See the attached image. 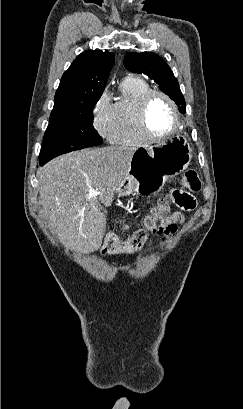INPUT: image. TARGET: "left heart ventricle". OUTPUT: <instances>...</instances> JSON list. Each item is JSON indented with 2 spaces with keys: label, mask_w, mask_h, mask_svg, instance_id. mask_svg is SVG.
Listing matches in <instances>:
<instances>
[{
  "label": "left heart ventricle",
  "mask_w": 243,
  "mask_h": 409,
  "mask_svg": "<svg viewBox=\"0 0 243 409\" xmlns=\"http://www.w3.org/2000/svg\"><path fill=\"white\" fill-rule=\"evenodd\" d=\"M148 126L152 133L164 135L172 131L175 126V117L169 103L162 97H154L148 107Z\"/></svg>",
  "instance_id": "obj_1"
}]
</instances>
